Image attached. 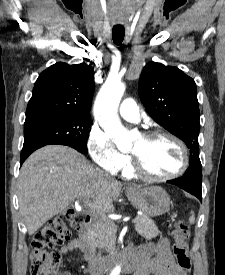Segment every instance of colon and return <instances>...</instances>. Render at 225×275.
<instances>
[{
    "instance_id": "5ec220e1",
    "label": "colon",
    "mask_w": 225,
    "mask_h": 275,
    "mask_svg": "<svg viewBox=\"0 0 225 275\" xmlns=\"http://www.w3.org/2000/svg\"><path fill=\"white\" fill-rule=\"evenodd\" d=\"M88 215L75 209L69 210L64 216H58L46 223L33 237L31 243V275H51L57 269L61 254L58 247L78 230ZM190 226L187 221H179L172 229L173 254L178 266L188 273L191 261L188 255V238Z\"/></svg>"
}]
</instances>
